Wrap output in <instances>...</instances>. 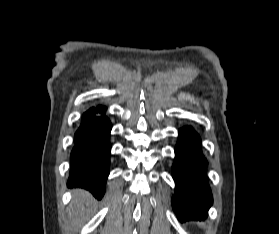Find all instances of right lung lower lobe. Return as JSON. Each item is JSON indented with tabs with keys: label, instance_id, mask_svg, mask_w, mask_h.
Listing matches in <instances>:
<instances>
[{
	"label": "right lung lower lobe",
	"instance_id": "right-lung-lower-lobe-1",
	"mask_svg": "<svg viewBox=\"0 0 279 234\" xmlns=\"http://www.w3.org/2000/svg\"><path fill=\"white\" fill-rule=\"evenodd\" d=\"M106 108L92 107L83 114L75 133V146L71 153V171L68 186L89 190L101 199L109 175V143L112 125L105 116Z\"/></svg>",
	"mask_w": 279,
	"mask_h": 234
}]
</instances>
